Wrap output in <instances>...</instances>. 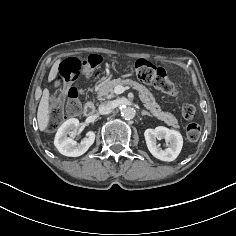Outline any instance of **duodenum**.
<instances>
[{
    "instance_id": "1",
    "label": "duodenum",
    "mask_w": 236,
    "mask_h": 236,
    "mask_svg": "<svg viewBox=\"0 0 236 236\" xmlns=\"http://www.w3.org/2000/svg\"><path fill=\"white\" fill-rule=\"evenodd\" d=\"M85 115L86 116H90V115H92L93 114V112H94V105H93V103H87L86 104V106H85Z\"/></svg>"
}]
</instances>
